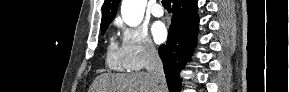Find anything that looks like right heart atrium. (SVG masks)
Instances as JSON below:
<instances>
[{
	"mask_svg": "<svg viewBox=\"0 0 289 92\" xmlns=\"http://www.w3.org/2000/svg\"><path fill=\"white\" fill-rule=\"evenodd\" d=\"M121 53L125 68L138 71L155 61L158 52L142 26H121Z\"/></svg>",
	"mask_w": 289,
	"mask_h": 92,
	"instance_id": "right-heart-atrium-1",
	"label": "right heart atrium"
}]
</instances>
